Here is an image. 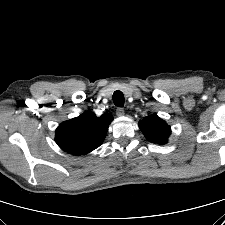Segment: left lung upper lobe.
Returning <instances> with one entry per match:
<instances>
[{"label":"left lung upper lobe","mask_w":225,"mask_h":225,"mask_svg":"<svg viewBox=\"0 0 225 225\" xmlns=\"http://www.w3.org/2000/svg\"><path fill=\"white\" fill-rule=\"evenodd\" d=\"M139 127L150 142L157 144L166 143L171 133L170 127L156 114L145 117Z\"/></svg>","instance_id":"1"}]
</instances>
